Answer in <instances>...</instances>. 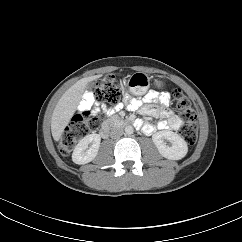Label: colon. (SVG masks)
<instances>
[{
  "mask_svg": "<svg viewBox=\"0 0 242 242\" xmlns=\"http://www.w3.org/2000/svg\"><path fill=\"white\" fill-rule=\"evenodd\" d=\"M92 97V106L85 109L81 114H77L62 134L59 141V150L63 155H68L80 138L97 128L99 118L102 115L98 108L99 105H107L111 108V105L119 101L121 88L118 81L111 75L103 77L96 83ZM171 99L180 116L186 121L181 129L182 137L189 145L195 144L198 134L196 111L180 89H175L172 92ZM105 113L104 109L103 114Z\"/></svg>",
  "mask_w": 242,
  "mask_h": 242,
  "instance_id": "1",
  "label": "colon"
}]
</instances>
